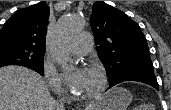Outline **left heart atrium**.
<instances>
[{"mask_svg": "<svg viewBox=\"0 0 171 110\" xmlns=\"http://www.w3.org/2000/svg\"><path fill=\"white\" fill-rule=\"evenodd\" d=\"M85 74L86 70L83 68H77L73 71H70L66 76V81L69 87L75 89L78 86V84L82 81Z\"/></svg>", "mask_w": 171, "mask_h": 110, "instance_id": "39dd6f15", "label": "left heart atrium"}]
</instances>
